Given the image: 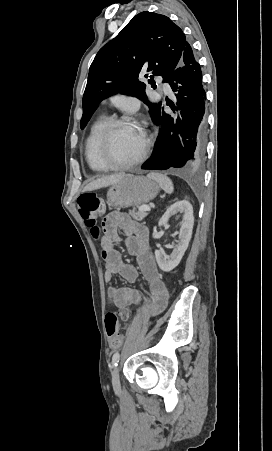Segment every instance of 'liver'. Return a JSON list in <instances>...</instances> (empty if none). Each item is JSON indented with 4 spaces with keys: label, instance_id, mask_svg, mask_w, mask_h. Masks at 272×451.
Listing matches in <instances>:
<instances>
[{
    "label": "liver",
    "instance_id": "obj_1",
    "mask_svg": "<svg viewBox=\"0 0 272 451\" xmlns=\"http://www.w3.org/2000/svg\"><path fill=\"white\" fill-rule=\"evenodd\" d=\"M127 174H113V176H106V178H99V180H93L90 184H87L84 188V192H90V190H98V188H105V186H112L120 182Z\"/></svg>",
    "mask_w": 272,
    "mask_h": 451
}]
</instances>
